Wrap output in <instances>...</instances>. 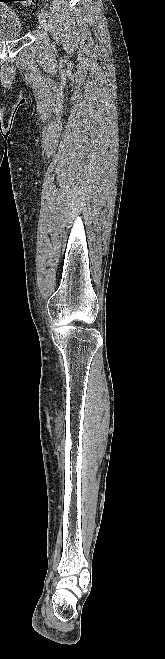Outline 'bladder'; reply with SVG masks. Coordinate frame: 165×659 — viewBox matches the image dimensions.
Masks as SVG:
<instances>
[{"instance_id":"31cf9c89","label":"bladder","mask_w":165,"mask_h":659,"mask_svg":"<svg viewBox=\"0 0 165 659\" xmlns=\"http://www.w3.org/2000/svg\"><path fill=\"white\" fill-rule=\"evenodd\" d=\"M23 25L19 16L9 7L0 5V41L22 37Z\"/></svg>"}]
</instances>
